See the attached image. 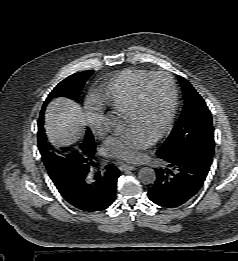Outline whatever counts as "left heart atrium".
Returning a JSON list of instances; mask_svg holds the SVG:
<instances>
[{"mask_svg": "<svg viewBox=\"0 0 238 261\" xmlns=\"http://www.w3.org/2000/svg\"><path fill=\"white\" fill-rule=\"evenodd\" d=\"M153 137L140 127L133 126L110 137L106 142V151L114 158L139 162L143 151L152 145Z\"/></svg>", "mask_w": 238, "mask_h": 261, "instance_id": "1", "label": "left heart atrium"}]
</instances>
